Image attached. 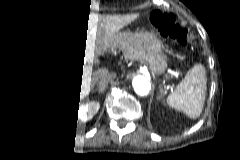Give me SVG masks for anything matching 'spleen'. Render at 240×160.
Masks as SVG:
<instances>
[{"label": "spleen", "instance_id": "obj_1", "mask_svg": "<svg viewBox=\"0 0 240 160\" xmlns=\"http://www.w3.org/2000/svg\"><path fill=\"white\" fill-rule=\"evenodd\" d=\"M205 90V72L203 68L195 66L168 96L167 103L189 117H197L202 112Z\"/></svg>", "mask_w": 240, "mask_h": 160}]
</instances>
